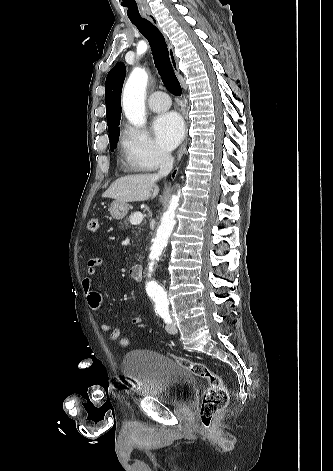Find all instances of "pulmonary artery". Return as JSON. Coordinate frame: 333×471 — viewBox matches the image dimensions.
I'll use <instances>...</instances> for the list:
<instances>
[{"instance_id":"1","label":"pulmonary artery","mask_w":333,"mask_h":471,"mask_svg":"<svg viewBox=\"0 0 333 471\" xmlns=\"http://www.w3.org/2000/svg\"><path fill=\"white\" fill-rule=\"evenodd\" d=\"M148 105L152 111L162 112L170 107L171 101L166 93L162 91H156L149 97Z\"/></svg>"}]
</instances>
